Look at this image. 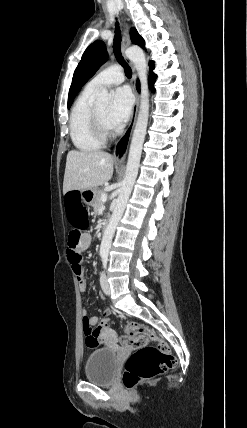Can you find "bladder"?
Returning <instances> with one entry per match:
<instances>
[{"instance_id":"1","label":"bladder","mask_w":247,"mask_h":428,"mask_svg":"<svg viewBox=\"0 0 247 428\" xmlns=\"http://www.w3.org/2000/svg\"><path fill=\"white\" fill-rule=\"evenodd\" d=\"M118 371L116 350L108 347L98 348L90 353L85 365V378L98 385H110Z\"/></svg>"}]
</instances>
